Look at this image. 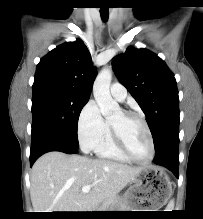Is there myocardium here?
<instances>
[{"label":"myocardium","mask_w":203,"mask_h":219,"mask_svg":"<svg viewBox=\"0 0 203 219\" xmlns=\"http://www.w3.org/2000/svg\"><path fill=\"white\" fill-rule=\"evenodd\" d=\"M121 112L125 117H136L142 122L147 132L148 138H149L151 153L147 160H139L136 157H134L129 151L120 129L117 126H115L112 122H110L111 130H112V134H113V138H114L116 146L122 152V154L126 158H128L130 161H133L138 164H149L150 162L153 161L155 157L156 148H155L153 134H152L151 128L146 118L141 113L134 111V110L124 109V110H121Z\"/></svg>","instance_id":"1"}]
</instances>
